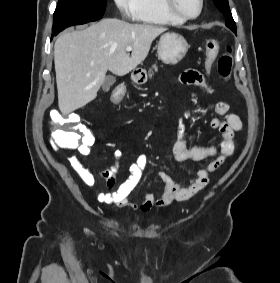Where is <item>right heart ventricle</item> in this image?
<instances>
[{
  "mask_svg": "<svg viewBox=\"0 0 280 283\" xmlns=\"http://www.w3.org/2000/svg\"><path fill=\"white\" fill-rule=\"evenodd\" d=\"M132 17L137 22L150 25H181L184 22L167 10L164 0H137Z\"/></svg>",
  "mask_w": 280,
  "mask_h": 283,
  "instance_id": "e07e8e85",
  "label": "right heart ventricle"
}]
</instances>
